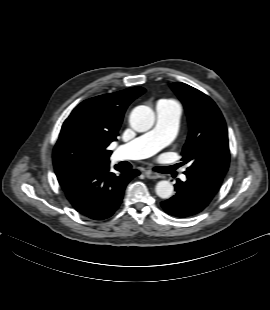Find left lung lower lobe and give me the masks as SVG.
Segmentation results:
<instances>
[{"label":"left lung lower lobe","instance_id":"obj_1","mask_svg":"<svg viewBox=\"0 0 270 310\" xmlns=\"http://www.w3.org/2000/svg\"><path fill=\"white\" fill-rule=\"evenodd\" d=\"M187 181L175 184L176 194L161 203L170 215L185 218L202 212L217 194L223 179L198 173H185Z\"/></svg>","mask_w":270,"mask_h":310}]
</instances>
